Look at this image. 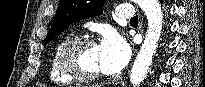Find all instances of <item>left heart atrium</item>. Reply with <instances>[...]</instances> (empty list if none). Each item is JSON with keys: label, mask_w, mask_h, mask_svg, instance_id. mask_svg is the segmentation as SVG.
I'll use <instances>...</instances> for the list:
<instances>
[{"label": "left heart atrium", "mask_w": 205, "mask_h": 87, "mask_svg": "<svg viewBox=\"0 0 205 87\" xmlns=\"http://www.w3.org/2000/svg\"><path fill=\"white\" fill-rule=\"evenodd\" d=\"M98 47L101 71L113 74L120 71L130 58V47L118 34L109 32Z\"/></svg>", "instance_id": "39dd6f15"}]
</instances>
